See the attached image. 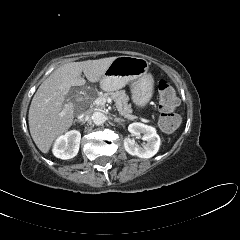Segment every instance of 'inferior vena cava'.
Returning a JSON list of instances; mask_svg holds the SVG:
<instances>
[{
	"label": "inferior vena cava",
	"mask_w": 240,
	"mask_h": 240,
	"mask_svg": "<svg viewBox=\"0 0 240 240\" xmlns=\"http://www.w3.org/2000/svg\"><path fill=\"white\" fill-rule=\"evenodd\" d=\"M89 116H90V111L88 110L79 114V118L82 120L89 118Z\"/></svg>",
	"instance_id": "602c4592"
}]
</instances>
